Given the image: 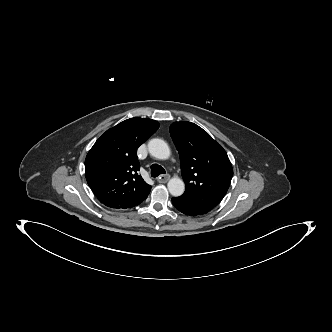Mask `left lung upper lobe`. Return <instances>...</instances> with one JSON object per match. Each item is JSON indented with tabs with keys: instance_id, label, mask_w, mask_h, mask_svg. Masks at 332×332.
<instances>
[{
	"instance_id": "5c2ea615",
	"label": "left lung upper lobe",
	"mask_w": 332,
	"mask_h": 332,
	"mask_svg": "<svg viewBox=\"0 0 332 332\" xmlns=\"http://www.w3.org/2000/svg\"><path fill=\"white\" fill-rule=\"evenodd\" d=\"M170 134L179 152L186 190L180 197L212 210L225 196L233 176L227 153L205 130L191 122H174Z\"/></svg>"
}]
</instances>
